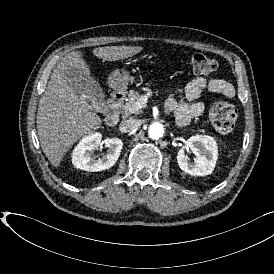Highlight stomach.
Instances as JSON below:
<instances>
[{
  "label": "stomach",
  "mask_w": 274,
  "mask_h": 274,
  "mask_svg": "<svg viewBox=\"0 0 274 274\" xmlns=\"http://www.w3.org/2000/svg\"><path fill=\"white\" fill-rule=\"evenodd\" d=\"M155 63L154 60H152V57L149 56L145 59V65L151 66ZM129 83V75L127 73H122L118 69L111 72V74L108 77V86L118 93H123L126 91Z\"/></svg>",
  "instance_id": "stomach-1"
}]
</instances>
